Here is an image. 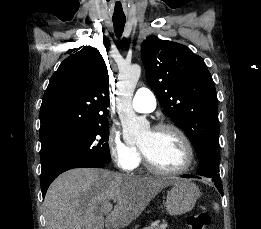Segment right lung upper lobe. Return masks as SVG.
Returning <instances> with one entry per match:
<instances>
[{"mask_svg": "<svg viewBox=\"0 0 261 229\" xmlns=\"http://www.w3.org/2000/svg\"><path fill=\"white\" fill-rule=\"evenodd\" d=\"M109 76L93 47L66 58L50 79L40 108L41 149L71 140L108 122Z\"/></svg>", "mask_w": 261, "mask_h": 229, "instance_id": "cb5924a9", "label": "right lung upper lobe"}]
</instances>
